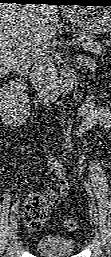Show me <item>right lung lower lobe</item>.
I'll return each instance as SVG.
<instances>
[{
  "mask_svg": "<svg viewBox=\"0 0 111 257\" xmlns=\"http://www.w3.org/2000/svg\"><path fill=\"white\" fill-rule=\"evenodd\" d=\"M53 0H0V3H22V4H53L51 3Z\"/></svg>",
  "mask_w": 111,
  "mask_h": 257,
  "instance_id": "right-lung-lower-lobe-1",
  "label": "right lung lower lobe"
}]
</instances>
